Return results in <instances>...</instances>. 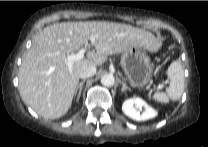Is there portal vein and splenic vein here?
Instances as JSON below:
<instances>
[{
  "label": "portal vein and splenic vein",
  "mask_w": 208,
  "mask_h": 147,
  "mask_svg": "<svg viewBox=\"0 0 208 147\" xmlns=\"http://www.w3.org/2000/svg\"><path fill=\"white\" fill-rule=\"evenodd\" d=\"M90 41L92 44L95 43V36H90ZM85 48L80 49L76 54H68L66 56V65L69 69L72 68L75 61H80L84 58Z\"/></svg>",
  "instance_id": "18ae733b"
}]
</instances>
